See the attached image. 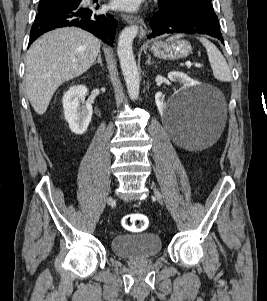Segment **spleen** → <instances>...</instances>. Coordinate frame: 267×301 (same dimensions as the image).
<instances>
[{"mask_svg":"<svg viewBox=\"0 0 267 301\" xmlns=\"http://www.w3.org/2000/svg\"><path fill=\"white\" fill-rule=\"evenodd\" d=\"M182 36H183L182 34H177L170 37L169 40L177 39ZM199 40L206 48L208 59L212 67L214 77L220 81H224V82L230 81L232 78L230 68L225 58L218 50V48L206 38L201 37L199 38Z\"/></svg>","mask_w":267,"mask_h":301,"instance_id":"obj_1","label":"spleen"}]
</instances>
